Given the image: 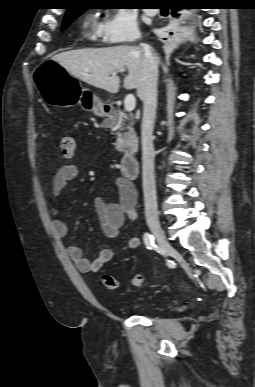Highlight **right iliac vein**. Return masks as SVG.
I'll list each match as a JSON object with an SVG mask.
<instances>
[{
	"label": "right iliac vein",
	"instance_id": "obj_1",
	"mask_svg": "<svg viewBox=\"0 0 255 387\" xmlns=\"http://www.w3.org/2000/svg\"><path fill=\"white\" fill-rule=\"evenodd\" d=\"M149 228L152 231V233L154 234V236L157 240V243H158L161 251L163 252V254L168 255L171 252L172 247H171L170 243L168 242L166 235H165V232L162 229V227L160 226V224L158 222H150Z\"/></svg>",
	"mask_w": 255,
	"mask_h": 387
}]
</instances>
